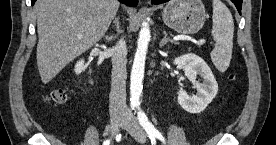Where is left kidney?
<instances>
[{
	"instance_id": "5707ae66",
	"label": "left kidney",
	"mask_w": 276,
	"mask_h": 145,
	"mask_svg": "<svg viewBox=\"0 0 276 145\" xmlns=\"http://www.w3.org/2000/svg\"><path fill=\"white\" fill-rule=\"evenodd\" d=\"M175 65L183 68L186 77L195 84L197 93L189 96L184 90L178 91L179 105L189 113H200L211 103L218 92L217 81L207 63L193 53H187L174 59ZM203 78L202 83L196 76Z\"/></svg>"
}]
</instances>
